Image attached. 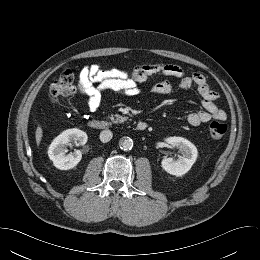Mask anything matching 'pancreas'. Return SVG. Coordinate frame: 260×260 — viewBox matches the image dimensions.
Returning a JSON list of instances; mask_svg holds the SVG:
<instances>
[{"label":"pancreas","instance_id":"pancreas-1","mask_svg":"<svg viewBox=\"0 0 260 260\" xmlns=\"http://www.w3.org/2000/svg\"><path fill=\"white\" fill-rule=\"evenodd\" d=\"M110 120L113 122V123H122L124 121H127L128 120V117H125V116H121L119 114H115V115H111L110 116Z\"/></svg>","mask_w":260,"mask_h":260}]
</instances>
